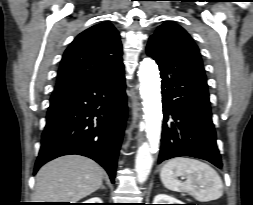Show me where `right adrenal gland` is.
<instances>
[{
  "label": "right adrenal gland",
  "instance_id": "obj_1",
  "mask_svg": "<svg viewBox=\"0 0 253 205\" xmlns=\"http://www.w3.org/2000/svg\"><path fill=\"white\" fill-rule=\"evenodd\" d=\"M104 188H105L104 185H102V186H101V189H104Z\"/></svg>",
  "mask_w": 253,
  "mask_h": 205
}]
</instances>
